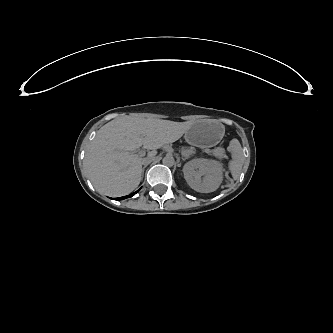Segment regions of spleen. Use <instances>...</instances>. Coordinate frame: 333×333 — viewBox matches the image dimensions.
Here are the masks:
<instances>
[{"label": "spleen", "instance_id": "spleen-1", "mask_svg": "<svg viewBox=\"0 0 333 333\" xmlns=\"http://www.w3.org/2000/svg\"><path fill=\"white\" fill-rule=\"evenodd\" d=\"M237 166V163L234 161L231 165L232 168H235Z\"/></svg>", "mask_w": 333, "mask_h": 333}]
</instances>
